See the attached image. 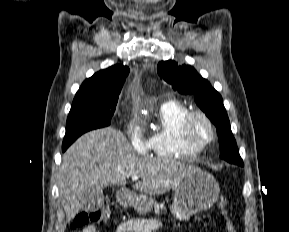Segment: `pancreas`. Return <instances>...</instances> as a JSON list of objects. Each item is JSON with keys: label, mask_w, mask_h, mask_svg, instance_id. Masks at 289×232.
<instances>
[{"label": "pancreas", "mask_w": 289, "mask_h": 232, "mask_svg": "<svg viewBox=\"0 0 289 232\" xmlns=\"http://www.w3.org/2000/svg\"><path fill=\"white\" fill-rule=\"evenodd\" d=\"M153 206H154V212L156 214H159L160 212H162L165 209L164 203L159 204V203L155 202L153 204Z\"/></svg>", "instance_id": "cf45deb5"}]
</instances>
